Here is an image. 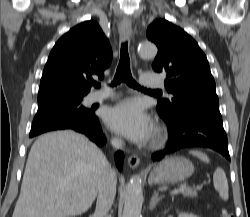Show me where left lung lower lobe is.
<instances>
[{
  "instance_id": "0a47b994",
  "label": "left lung lower lobe",
  "mask_w": 250,
  "mask_h": 217,
  "mask_svg": "<svg viewBox=\"0 0 250 217\" xmlns=\"http://www.w3.org/2000/svg\"><path fill=\"white\" fill-rule=\"evenodd\" d=\"M159 115L169 126L170 139L165 149L153 156L154 160L189 147L211 148L230 160L218 101L188 106L171 119Z\"/></svg>"
}]
</instances>
